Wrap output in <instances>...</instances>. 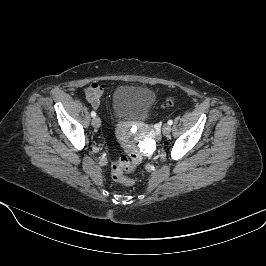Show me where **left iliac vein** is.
<instances>
[{
  "label": "left iliac vein",
  "mask_w": 266,
  "mask_h": 266,
  "mask_svg": "<svg viewBox=\"0 0 266 266\" xmlns=\"http://www.w3.org/2000/svg\"><path fill=\"white\" fill-rule=\"evenodd\" d=\"M170 132H171V126L167 123L164 124L162 127V133L167 136L170 134Z\"/></svg>",
  "instance_id": "left-iliac-vein-1"
}]
</instances>
